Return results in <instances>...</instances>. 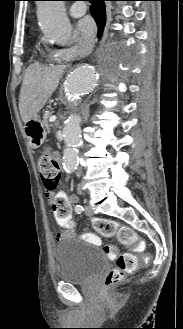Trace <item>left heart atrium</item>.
I'll list each match as a JSON object with an SVG mask.
<instances>
[{"mask_svg": "<svg viewBox=\"0 0 183 329\" xmlns=\"http://www.w3.org/2000/svg\"><path fill=\"white\" fill-rule=\"evenodd\" d=\"M79 30L85 38L90 39L96 32V24L91 17H84L79 22Z\"/></svg>", "mask_w": 183, "mask_h": 329, "instance_id": "left-heart-atrium-1", "label": "left heart atrium"}]
</instances>
